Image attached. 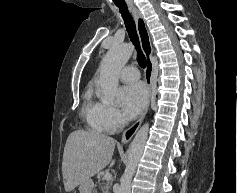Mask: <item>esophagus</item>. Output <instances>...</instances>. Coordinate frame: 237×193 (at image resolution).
I'll return each instance as SVG.
<instances>
[{
	"label": "esophagus",
	"instance_id": "obj_1",
	"mask_svg": "<svg viewBox=\"0 0 237 193\" xmlns=\"http://www.w3.org/2000/svg\"><path fill=\"white\" fill-rule=\"evenodd\" d=\"M130 11L132 12L135 21H136V26H137V31L139 34L140 42L142 49L145 53L146 60H147V67L145 71V81L148 87V101L146 104L145 109L143 110L141 116L139 119L128 129H126L122 135L121 142L122 143H128L132 137L135 135L137 130L139 129L147 111L149 108L150 104V98L152 94V74H153V63H152V54H153V48L151 45V39H150V34L146 26V22L142 16V14L134 7L130 6Z\"/></svg>",
	"mask_w": 237,
	"mask_h": 193
}]
</instances>
